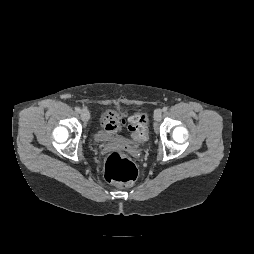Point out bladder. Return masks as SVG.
Returning a JSON list of instances; mask_svg holds the SVG:
<instances>
[{
  "label": "bladder",
  "mask_w": 254,
  "mask_h": 254,
  "mask_svg": "<svg viewBox=\"0 0 254 254\" xmlns=\"http://www.w3.org/2000/svg\"><path fill=\"white\" fill-rule=\"evenodd\" d=\"M110 137L109 134H107L106 132L104 131H97L94 135V138L96 141L98 142H102V141H105L107 140L108 138Z\"/></svg>",
  "instance_id": "obj_1"
}]
</instances>
